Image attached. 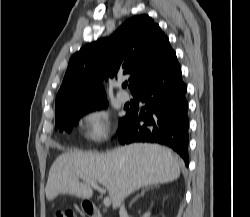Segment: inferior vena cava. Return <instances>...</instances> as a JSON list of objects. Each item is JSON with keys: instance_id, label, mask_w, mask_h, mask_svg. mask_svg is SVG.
Listing matches in <instances>:
<instances>
[{"instance_id": "inferior-vena-cava-1", "label": "inferior vena cava", "mask_w": 250, "mask_h": 217, "mask_svg": "<svg viewBox=\"0 0 250 217\" xmlns=\"http://www.w3.org/2000/svg\"><path fill=\"white\" fill-rule=\"evenodd\" d=\"M119 215H120V217H127V211H126V209H125L124 204H122V205L120 206Z\"/></svg>"}]
</instances>
